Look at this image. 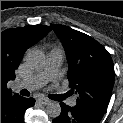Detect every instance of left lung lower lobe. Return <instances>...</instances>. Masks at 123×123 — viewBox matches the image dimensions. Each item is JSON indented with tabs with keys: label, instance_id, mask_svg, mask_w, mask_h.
<instances>
[{
	"label": "left lung lower lobe",
	"instance_id": "0a47b994",
	"mask_svg": "<svg viewBox=\"0 0 123 123\" xmlns=\"http://www.w3.org/2000/svg\"><path fill=\"white\" fill-rule=\"evenodd\" d=\"M61 114L52 123H99L103 116L88 112L80 107H69L60 103Z\"/></svg>",
	"mask_w": 123,
	"mask_h": 123
}]
</instances>
